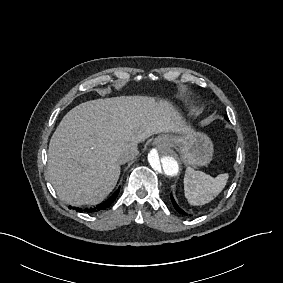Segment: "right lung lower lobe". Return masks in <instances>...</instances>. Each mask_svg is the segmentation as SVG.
<instances>
[{
    "label": "right lung lower lobe",
    "instance_id": "obj_1",
    "mask_svg": "<svg viewBox=\"0 0 283 283\" xmlns=\"http://www.w3.org/2000/svg\"><path fill=\"white\" fill-rule=\"evenodd\" d=\"M118 193H119V190H116L115 193L108 200H106L105 202L97 205L94 208H89V209L86 208V209H84V212L93 213V212L104 210V209L108 208L114 202V200L116 199ZM76 210L78 212H82V209H80V208H76Z\"/></svg>",
    "mask_w": 283,
    "mask_h": 283
}]
</instances>
